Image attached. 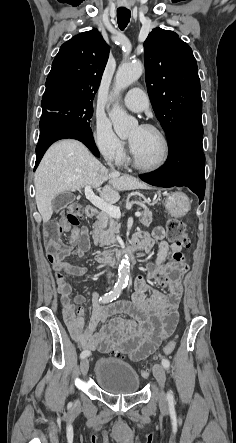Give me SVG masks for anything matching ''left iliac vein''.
<instances>
[{
	"instance_id": "1",
	"label": "left iliac vein",
	"mask_w": 236,
	"mask_h": 443,
	"mask_svg": "<svg viewBox=\"0 0 236 443\" xmlns=\"http://www.w3.org/2000/svg\"><path fill=\"white\" fill-rule=\"evenodd\" d=\"M153 374H154V377L156 378L158 385L160 387L159 407L162 412H166L167 411V402H166V397H165V394L163 391L165 381H166V374H165V369H164L163 365L158 364V363L154 364L153 365Z\"/></svg>"
}]
</instances>
